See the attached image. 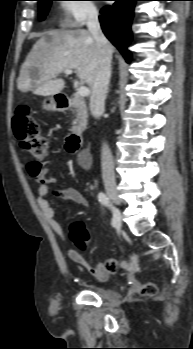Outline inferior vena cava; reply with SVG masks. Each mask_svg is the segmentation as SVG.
<instances>
[{
  "label": "inferior vena cava",
  "mask_w": 193,
  "mask_h": 349,
  "mask_svg": "<svg viewBox=\"0 0 193 349\" xmlns=\"http://www.w3.org/2000/svg\"><path fill=\"white\" fill-rule=\"evenodd\" d=\"M87 27L99 47V57L96 63L94 83L90 98V111L99 118L105 110V98L111 76V45L103 34L96 9L88 13ZM102 178L105 185H115L114 162L107 143L101 149Z\"/></svg>",
  "instance_id": "obj_1"
}]
</instances>
